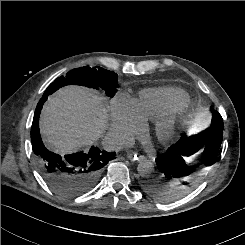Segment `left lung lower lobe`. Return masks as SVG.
I'll return each mask as SVG.
<instances>
[{
    "instance_id": "left-lung-lower-lobe-1",
    "label": "left lung lower lobe",
    "mask_w": 245,
    "mask_h": 245,
    "mask_svg": "<svg viewBox=\"0 0 245 245\" xmlns=\"http://www.w3.org/2000/svg\"><path fill=\"white\" fill-rule=\"evenodd\" d=\"M211 126L196 135H183L175 144L170 146L166 153L158 155L156 164L159 171V178L168 182L167 190H155L153 183L146 184L148 192H155L157 197H169L180 191H185L191 186L190 167L185 162V157L200 149H203L198 166L208 167L219 159V151L223 139V119L216 110H211Z\"/></svg>"
}]
</instances>
